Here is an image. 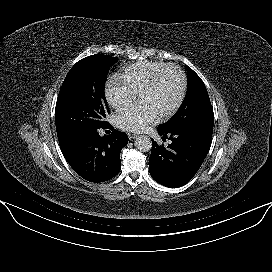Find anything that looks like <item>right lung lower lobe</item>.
I'll list each match as a JSON object with an SVG mask.
<instances>
[{
  "instance_id": "1",
  "label": "right lung lower lobe",
  "mask_w": 272,
  "mask_h": 272,
  "mask_svg": "<svg viewBox=\"0 0 272 272\" xmlns=\"http://www.w3.org/2000/svg\"><path fill=\"white\" fill-rule=\"evenodd\" d=\"M107 123L103 129L110 127ZM128 143L126 133L117 130L99 136L98 129L86 133L62 152L73 170L90 182H104L116 176L121 168L120 152Z\"/></svg>"
}]
</instances>
